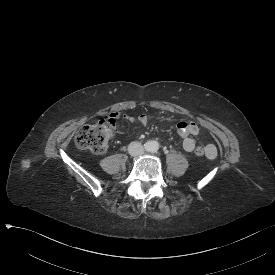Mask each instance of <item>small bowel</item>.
I'll return each instance as SVG.
<instances>
[{"instance_id":"obj_1","label":"small bowel","mask_w":275,"mask_h":275,"mask_svg":"<svg viewBox=\"0 0 275 275\" xmlns=\"http://www.w3.org/2000/svg\"><path fill=\"white\" fill-rule=\"evenodd\" d=\"M117 117L121 120H126L128 122H133L134 121V116L129 114V113H125L121 110H114L111 112L110 115L107 116V121L109 123H114L115 120L117 119ZM139 121L140 123L142 124H146L147 123V117L145 115H141L139 117ZM119 128V127H118ZM177 130H178V134L181 138V144H182V147L185 151L187 152H192L194 149H195V146H196V143H195V140L193 139V136H196L199 134L200 132V129H199V126L193 122V121H186V120H183V121H180L177 125ZM122 132H125V131H122ZM207 151H210V150H215L216 151V155H217V150L215 148L214 145L212 144H208L205 148ZM207 157L210 158V159H213L215 157H210L209 154H207Z\"/></svg>"}]
</instances>
